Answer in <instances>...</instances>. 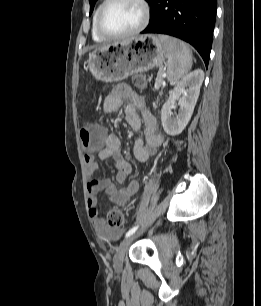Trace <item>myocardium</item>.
I'll use <instances>...</instances> for the list:
<instances>
[{
  "label": "myocardium",
  "instance_id": "1",
  "mask_svg": "<svg viewBox=\"0 0 261 306\" xmlns=\"http://www.w3.org/2000/svg\"><path fill=\"white\" fill-rule=\"evenodd\" d=\"M119 0H106L105 3L100 8L97 18H96V30L98 34L108 40H118V39H125L132 36L137 35L140 33L145 27L148 25L150 20V7L147 0H133L137 4H139L142 8L143 17L140 24L132 31L128 33L122 34H115L109 32L103 25V17L107 11V9L112 6L114 3L118 2Z\"/></svg>",
  "mask_w": 261,
  "mask_h": 306
}]
</instances>
